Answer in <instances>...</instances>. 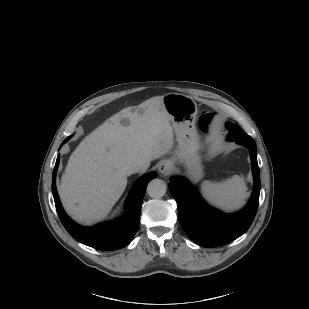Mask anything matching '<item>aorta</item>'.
<instances>
[{
  "instance_id": "obj_1",
  "label": "aorta",
  "mask_w": 309,
  "mask_h": 309,
  "mask_svg": "<svg viewBox=\"0 0 309 309\" xmlns=\"http://www.w3.org/2000/svg\"><path fill=\"white\" fill-rule=\"evenodd\" d=\"M147 193L151 198H161L166 193V183L161 179H153L147 186Z\"/></svg>"
}]
</instances>
